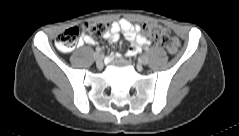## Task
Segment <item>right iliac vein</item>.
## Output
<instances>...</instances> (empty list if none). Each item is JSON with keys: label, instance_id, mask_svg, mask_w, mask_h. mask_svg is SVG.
<instances>
[{"label": "right iliac vein", "instance_id": "obj_1", "mask_svg": "<svg viewBox=\"0 0 239 136\" xmlns=\"http://www.w3.org/2000/svg\"><path fill=\"white\" fill-rule=\"evenodd\" d=\"M94 59H95L96 64H97L98 67H101L103 65V62H102L103 55L101 53L96 52L94 54Z\"/></svg>", "mask_w": 239, "mask_h": 136}]
</instances>
